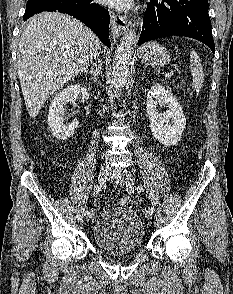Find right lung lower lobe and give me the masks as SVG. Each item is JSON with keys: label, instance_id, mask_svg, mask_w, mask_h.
Here are the masks:
<instances>
[{"label": "right lung lower lobe", "instance_id": "1", "mask_svg": "<svg viewBox=\"0 0 233 294\" xmlns=\"http://www.w3.org/2000/svg\"><path fill=\"white\" fill-rule=\"evenodd\" d=\"M43 11L66 13L82 21L108 47L109 40V12L92 2V0H39L26 7L24 21L34 14Z\"/></svg>", "mask_w": 233, "mask_h": 294}]
</instances>
